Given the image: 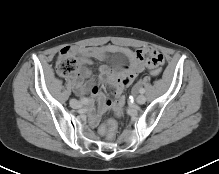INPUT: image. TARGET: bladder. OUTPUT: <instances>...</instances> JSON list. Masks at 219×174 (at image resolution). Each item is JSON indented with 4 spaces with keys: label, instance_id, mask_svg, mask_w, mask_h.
<instances>
[{
    "label": "bladder",
    "instance_id": "31cf9c89",
    "mask_svg": "<svg viewBox=\"0 0 219 174\" xmlns=\"http://www.w3.org/2000/svg\"><path fill=\"white\" fill-rule=\"evenodd\" d=\"M113 62H114V65H119L121 61H120V59L118 57H115L113 59Z\"/></svg>",
    "mask_w": 219,
    "mask_h": 174
}]
</instances>
